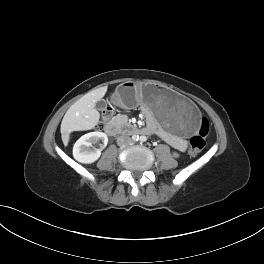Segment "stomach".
<instances>
[{
    "mask_svg": "<svg viewBox=\"0 0 264 264\" xmlns=\"http://www.w3.org/2000/svg\"><path fill=\"white\" fill-rule=\"evenodd\" d=\"M113 102L122 107L142 106L169 132L192 136L199 125L197 108L177 92L158 83L127 81L117 87Z\"/></svg>",
    "mask_w": 264,
    "mask_h": 264,
    "instance_id": "1",
    "label": "stomach"
}]
</instances>
